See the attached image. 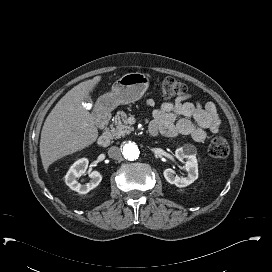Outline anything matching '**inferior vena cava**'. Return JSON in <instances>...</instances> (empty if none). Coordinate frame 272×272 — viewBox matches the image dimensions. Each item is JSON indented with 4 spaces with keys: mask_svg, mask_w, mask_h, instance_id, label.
<instances>
[{
    "mask_svg": "<svg viewBox=\"0 0 272 272\" xmlns=\"http://www.w3.org/2000/svg\"><path fill=\"white\" fill-rule=\"evenodd\" d=\"M108 155L110 158H113L115 160H119L121 158V150L119 147L112 146L108 150Z\"/></svg>",
    "mask_w": 272,
    "mask_h": 272,
    "instance_id": "obj_1",
    "label": "inferior vena cava"
}]
</instances>
